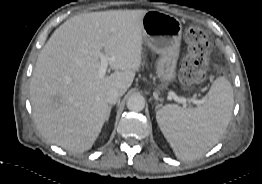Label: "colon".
<instances>
[{
  "label": "colon",
  "instance_id": "1",
  "mask_svg": "<svg viewBox=\"0 0 262 184\" xmlns=\"http://www.w3.org/2000/svg\"><path fill=\"white\" fill-rule=\"evenodd\" d=\"M185 42L187 54L181 63L179 77L185 86H197L206 78L211 44L207 34L195 26L186 28Z\"/></svg>",
  "mask_w": 262,
  "mask_h": 184
}]
</instances>
